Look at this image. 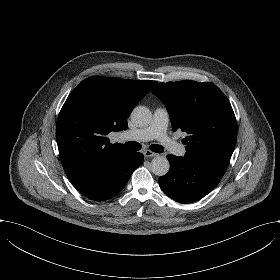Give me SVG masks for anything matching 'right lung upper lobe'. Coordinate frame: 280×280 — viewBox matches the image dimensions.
I'll use <instances>...</instances> for the list:
<instances>
[{
	"instance_id": "right-lung-upper-lobe-1",
	"label": "right lung upper lobe",
	"mask_w": 280,
	"mask_h": 280,
	"mask_svg": "<svg viewBox=\"0 0 280 280\" xmlns=\"http://www.w3.org/2000/svg\"><path fill=\"white\" fill-rule=\"evenodd\" d=\"M94 76L83 80L64 103L56 125L60 160L68 179L82 194L131 153L114 148L107 135L126 130L135 105L156 84Z\"/></svg>"
}]
</instances>
